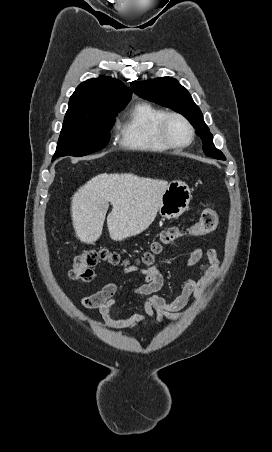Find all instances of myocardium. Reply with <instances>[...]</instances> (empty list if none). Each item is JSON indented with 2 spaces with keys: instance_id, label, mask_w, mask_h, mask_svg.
Listing matches in <instances>:
<instances>
[{
  "instance_id": "myocardium-1",
  "label": "myocardium",
  "mask_w": 272,
  "mask_h": 452,
  "mask_svg": "<svg viewBox=\"0 0 272 452\" xmlns=\"http://www.w3.org/2000/svg\"><path fill=\"white\" fill-rule=\"evenodd\" d=\"M173 118L180 120L186 126V128L188 130V134H189V138L186 142H182V143L176 142L170 136L169 131H168V123ZM159 133H160L161 138L164 140V142L167 145H169L171 148L187 147L193 142L194 136H195L194 127L191 124V122L188 120V118L186 116H184L183 114H181L179 112H175V111L166 112L163 115V117L161 118L160 123H159Z\"/></svg>"
}]
</instances>
